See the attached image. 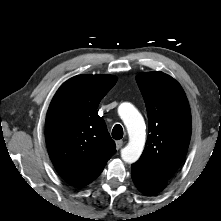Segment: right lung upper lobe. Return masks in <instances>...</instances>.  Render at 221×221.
<instances>
[{
  "label": "right lung upper lobe",
  "instance_id": "1",
  "mask_svg": "<svg viewBox=\"0 0 221 221\" xmlns=\"http://www.w3.org/2000/svg\"><path fill=\"white\" fill-rule=\"evenodd\" d=\"M112 75H78L55 94L46 117L45 138L49 156L60 176L74 186L96 179L115 154L97 107L115 85Z\"/></svg>",
  "mask_w": 221,
  "mask_h": 221
}]
</instances>
